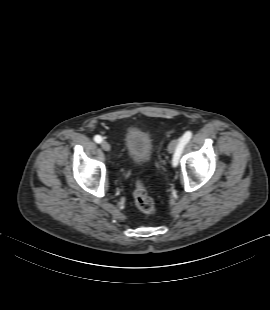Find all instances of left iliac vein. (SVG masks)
Instances as JSON below:
<instances>
[{
    "label": "left iliac vein",
    "mask_w": 270,
    "mask_h": 310,
    "mask_svg": "<svg viewBox=\"0 0 270 310\" xmlns=\"http://www.w3.org/2000/svg\"><path fill=\"white\" fill-rule=\"evenodd\" d=\"M180 143L179 139H174L170 142L169 146H168V151L169 153H174L178 147Z\"/></svg>",
    "instance_id": "left-iliac-vein-1"
}]
</instances>
